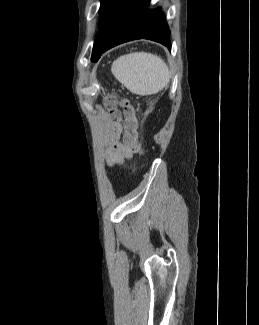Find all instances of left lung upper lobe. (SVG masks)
Returning a JSON list of instances; mask_svg holds the SVG:
<instances>
[{
	"instance_id": "left-lung-upper-lobe-1",
	"label": "left lung upper lobe",
	"mask_w": 259,
	"mask_h": 325,
	"mask_svg": "<svg viewBox=\"0 0 259 325\" xmlns=\"http://www.w3.org/2000/svg\"><path fill=\"white\" fill-rule=\"evenodd\" d=\"M123 2L124 0H101V6L99 10V13L101 15L99 26L100 32L97 34L96 39L94 41L93 52L91 57V60L93 62H97L100 58L104 31L106 30L111 17L114 15V13L117 11V9L121 6Z\"/></svg>"
}]
</instances>
